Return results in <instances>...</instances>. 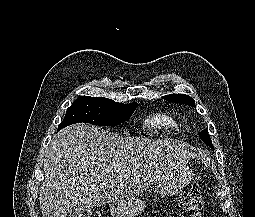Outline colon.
Wrapping results in <instances>:
<instances>
[{
    "mask_svg": "<svg viewBox=\"0 0 255 217\" xmlns=\"http://www.w3.org/2000/svg\"><path fill=\"white\" fill-rule=\"evenodd\" d=\"M179 207L189 214V217H199L203 206V198L199 189H186L178 198Z\"/></svg>",
    "mask_w": 255,
    "mask_h": 217,
    "instance_id": "obj_1",
    "label": "colon"
}]
</instances>
